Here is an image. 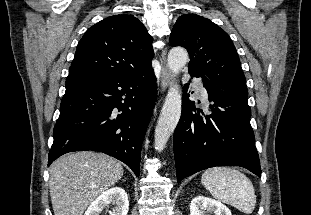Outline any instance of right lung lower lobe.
Segmentation results:
<instances>
[{"label": "right lung lower lobe", "mask_w": 311, "mask_h": 215, "mask_svg": "<svg viewBox=\"0 0 311 215\" xmlns=\"http://www.w3.org/2000/svg\"><path fill=\"white\" fill-rule=\"evenodd\" d=\"M156 88L153 70L131 78L66 81L48 165L67 152L93 150L119 159L138 177Z\"/></svg>", "instance_id": "obj_1"}]
</instances>
